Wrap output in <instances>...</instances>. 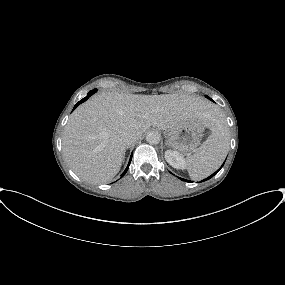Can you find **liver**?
<instances>
[{
  "label": "liver",
  "instance_id": "1",
  "mask_svg": "<svg viewBox=\"0 0 285 285\" xmlns=\"http://www.w3.org/2000/svg\"><path fill=\"white\" fill-rule=\"evenodd\" d=\"M218 112L211 102L192 95L103 92L70 116L62 136L63 155L81 179L105 183L122 165L127 148L124 134L139 139L151 126L168 130L197 119L211 129Z\"/></svg>",
  "mask_w": 285,
  "mask_h": 285
}]
</instances>
